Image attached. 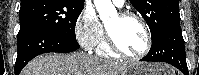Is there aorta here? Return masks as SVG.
Returning <instances> with one entry per match:
<instances>
[{"label":"aorta","instance_id":"762f6f07","mask_svg":"<svg viewBox=\"0 0 199 75\" xmlns=\"http://www.w3.org/2000/svg\"><path fill=\"white\" fill-rule=\"evenodd\" d=\"M94 4L103 22L117 16V11L111 0H94Z\"/></svg>","mask_w":199,"mask_h":75}]
</instances>
